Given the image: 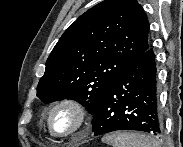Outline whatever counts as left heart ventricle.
Wrapping results in <instances>:
<instances>
[{
  "mask_svg": "<svg viewBox=\"0 0 183 147\" xmlns=\"http://www.w3.org/2000/svg\"><path fill=\"white\" fill-rule=\"evenodd\" d=\"M51 123L56 133L65 134L75 129L78 116L71 108L61 107L53 112Z\"/></svg>",
  "mask_w": 183,
  "mask_h": 147,
  "instance_id": "left-heart-ventricle-1",
  "label": "left heart ventricle"
}]
</instances>
